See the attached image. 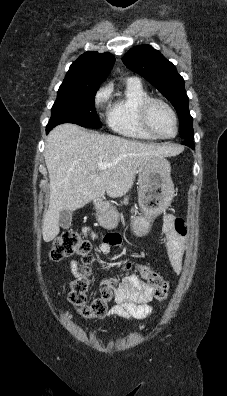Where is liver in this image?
<instances>
[{
  "instance_id": "obj_1",
  "label": "liver",
  "mask_w": 227,
  "mask_h": 396,
  "mask_svg": "<svg viewBox=\"0 0 227 396\" xmlns=\"http://www.w3.org/2000/svg\"><path fill=\"white\" fill-rule=\"evenodd\" d=\"M44 158L50 179L49 208L42 224L43 240L52 241L60 231L59 213L75 211L105 192L121 197L132 185L138 167L153 157L174 156L176 146L146 144L122 137L62 124L48 135ZM99 162L112 166L100 170Z\"/></svg>"
}]
</instances>
